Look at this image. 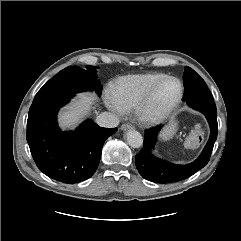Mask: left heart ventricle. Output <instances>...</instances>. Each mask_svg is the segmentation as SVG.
Wrapping results in <instances>:
<instances>
[{
  "label": "left heart ventricle",
  "mask_w": 241,
  "mask_h": 241,
  "mask_svg": "<svg viewBox=\"0 0 241 241\" xmlns=\"http://www.w3.org/2000/svg\"><path fill=\"white\" fill-rule=\"evenodd\" d=\"M179 92L178 83L174 80L165 81L158 89L151 105L152 111H158L175 100Z\"/></svg>",
  "instance_id": "b2bd125f"
}]
</instances>
